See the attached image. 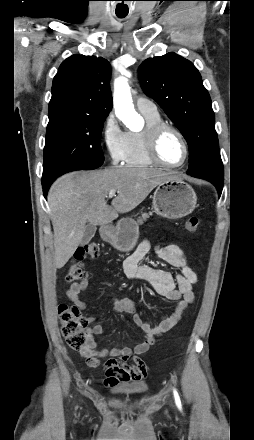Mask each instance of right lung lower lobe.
<instances>
[{"label": "right lung lower lobe", "mask_w": 254, "mask_h": 440, "mask_svg": "<svg viewBox=\"0 0 254 440\" xmlns=\"http://www.w3.org/2000/svg\"><path fill=\"white\" fill-rule=\"evenodd\" d=\"M50 185H51V183L50 184L49 183H42V188H43V193H44L45 198L47 196V191H48Z\"/></svg>", "instance_id": "98d812e1"}]
</instances>
